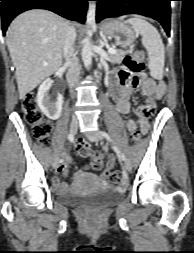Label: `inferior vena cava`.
Instances as JSON below:
<instances>
[{"label": "inferior vena cava", "mask_w": 194, "mask_h": 253, "mask_svg": "<svg viewBox=\"0 0 194 253\" xmlns=\"http://www.w3.org/2000/svg\"><path fill=\"white\" fill-rule=\"evenodd\" d=\"M75 40L76 30L73 26L68 24L65 31L63 55L65 58V65L68 67L66 78L70 89L79 81L80 75L79 60L74 49Z\"/></svg>", "instance_id": "602c4592"}]
</instances>
